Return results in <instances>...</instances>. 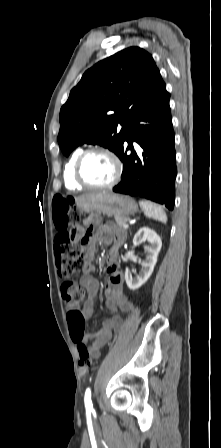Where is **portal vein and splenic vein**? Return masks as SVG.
I'll return each mask as SVG.
<instances>
[{
    "label": "portal vein and splenic vein",
    "mask_w": 221,
    "mask_h": 448,
    "mask_svg": "<svg viewBox=\"0 0 221 448\" xmlns=\"http://www.w3.org/2000/svg\"><path fill=\"white\" fill-rule=\"evenodd\" d=\"M128 227H129V224L126 223V224L124 225V228H128Z\"/></svg>",
    "instance_id": "obj_1"
}]
</instances>
